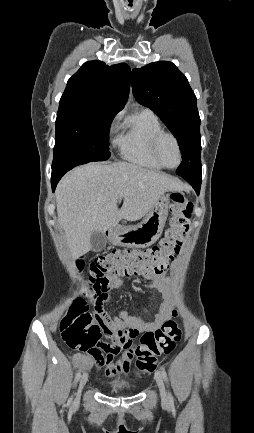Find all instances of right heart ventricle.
<instances>
[{"label": "right heart ventricle", "mask_w": 254, "mask_h": 433, "mask_svg": "<svg viewBox=\"0 0 254 433\" xmlns=\"http://www.w3.org/2000/svg\"><path fill=\"white\" fill-rule=\"evenodd\" d=\"M160 130L162 127L157 116L148 109H142L128 116L120 125L114 145L124 160L146 169L160 170L162 167L150 151L151 139Z\"/></svg>", "instance_id": "e07e8e85"}]
</instances>
